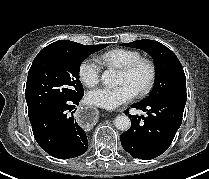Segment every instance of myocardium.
Segmentation results:
<instances>
[{
  "mask_svg": "<svg viewBox=\"0 0 209 179\" xmlns=\"http://www.w3.org/2000/svg\"><path fill=\"white\" fill-rule=\"evenodd\" d=\"M141 66L147 67L149 71V77L146 84L136 92L137 96H145L147 95L154 87L157 77V70L154 62L148 58L140 57L137 60L131 62L125 67L120 69V72L126 75H132L137 69Z\"/></svg>",
  "mask_w": 209,
  "mask_h": 179,
  "instance_id": "myocardium-1",
  "label": "myocardium"
}]
</instances>
